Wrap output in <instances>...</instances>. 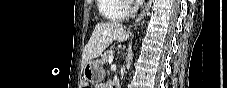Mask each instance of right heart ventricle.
Instances as JSON below:
<instances>
[{"instance_id": "e07e8e85", "label": "right heart ventricle", "mask_w": 227, "mask_h": 88, "mask_svg": "<svg viewBox=\"0 0 227 88\" xmlns=\"http://www.w3.org/2000/svg\"><path fill=\"white\" fill-rule=\"evenodd\" d=\"M123 2L124 0H97L100 15L109 21L122 20L126 15Z\"/></svg>"}]
</instances>
